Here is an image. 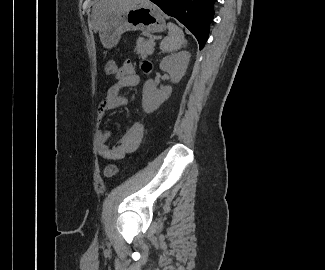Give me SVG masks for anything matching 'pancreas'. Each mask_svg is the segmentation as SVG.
I'll list each match as a JSON object with an SVG mask.
<instances>
[{"label": "pancreas", "mask_w": 325, "mask_h": 270, "mask_svg": "<svg viewBox=\"0 0 325 270\" xmlns=\"http://www.w3.org/2000/svg\"><path fill=\"white\" fill-rule=\"evenodd\" d=\"M154 51V45L151 42V39L145 40L143 38H138L137 45L135 47V52L139 55L140 58H145Z\"/></svg>", "instance_id": "pancreas-1"}]
</instances>
